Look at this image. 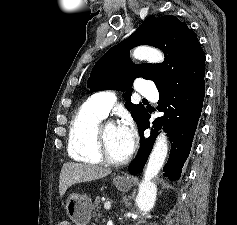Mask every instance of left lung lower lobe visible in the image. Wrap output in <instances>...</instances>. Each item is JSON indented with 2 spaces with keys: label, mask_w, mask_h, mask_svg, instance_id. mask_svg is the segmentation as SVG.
<instances>
[{
  "label": "left lung lower lobe",
  "mask_w": 237,
  "mask_h": 225,
  "mask_svg": "<svg viewBox=\"0 0 237 225\" xmlns=\"http://www.w3.org/2000/svg\"><path fill=\"white\" fill-rule=\"evenodd\" d=\"M158 111L164 112L162 117L156 118L151 128V135L145 138V129L150 128V114H144L138 124L141 136L140 149L135 160L128 168L129 173H141L152 150L158 131L163 129L168 133L171 143L169 159L165 164L164 176L175 181L180 178L182 167L187 160L197 124L201 115L205 96L204 77L174 90L159 91Z\"/></svg>",
  "instance_id": "1"
}]
</instances>
